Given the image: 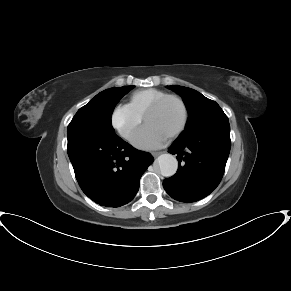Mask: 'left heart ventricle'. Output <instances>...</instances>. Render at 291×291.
Returning <instances> with one entry per match:
<instances>
[{"label":"left heart ventricle","mask_w":291,"mask_h":291,"mask_svg":"<svg viewBox=\"0 0 291 291\" xmlns=\"http://www.w3.org/2000/svg\"><path fill=\"white\" fill-rule=\"evenodd\" d=\"M182 116L179 103L169 100L147 118L146 124L169 136L180 125Z\"/></svg>","instance_id":"1"}]
</instances>
